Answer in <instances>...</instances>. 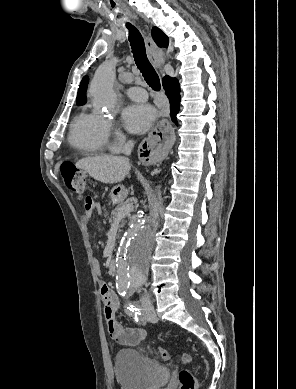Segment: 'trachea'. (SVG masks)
Wrapping results in <instances>:
<instances>
[{
  "label": "trachea",
  "instance_id": "obj_1",
  "mask_svg": "<svg viewBox=\"0 0 296 389\" xmlns=\"http://www.w3.org/2000/svg\"><path fill=\"white\" fill-rule=\"evenodd\" d=\"M129 30V41L134 61L142 73L146 83L155 91H160V79L152 64L147 58L144 39L141 33L130 23L126 24Z\"/></svg>",
  "mask_w": 296,
  "mask_h": 389
}]
</instances>
